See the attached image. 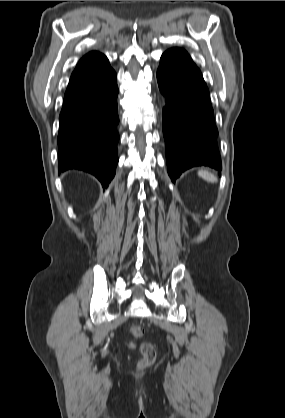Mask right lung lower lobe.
<instances>
[{"mask_svg": "<svg viewBox=\"0 0 285 418\" xmlns=\"http://www.w3.org/2000/svg\"><path fill=\"white\" fill-rule=\"evenodd\" d=\"M116 73L64 96L59 117V171L79 169L108 187L118 163L119 123Z\"/></svg>", "mask_w": 285, "mask_h": 418, "instance_id": "1", "label": "right lung lower lobe"}]
</instances>
